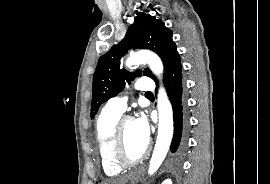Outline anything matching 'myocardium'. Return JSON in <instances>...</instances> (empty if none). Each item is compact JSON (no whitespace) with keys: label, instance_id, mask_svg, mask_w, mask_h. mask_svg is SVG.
<instances>
[{"label":"myocardium","instance_id":"myocardium-1","mask_svg":"<svg viewBox=\"0 0 270 184\" xmlns=\"http://www.w3.org/2000/svg\"><path fill=\"white\" fill-rule=\"evenodd\" d=\"M128 121H133V117L126 115L119 118L114 128L112 140L113 161L116 165L122 168L140 163L149 155L151 151V144L148 141L144 152L139 157L130 158L127 156L124 142V126Z\"/></svg>","mask_w":270,"mask_h":184}]
</instances>
